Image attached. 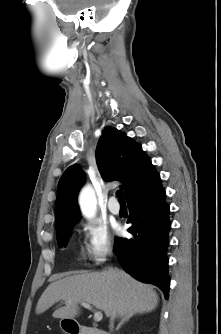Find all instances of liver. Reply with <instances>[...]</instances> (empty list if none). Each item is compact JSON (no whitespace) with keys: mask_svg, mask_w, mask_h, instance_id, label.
<instances>
[{"mask_svg":"<svg viewBox=\"0 0 221 334\" xmlns=\"http://www.w3.org/2000/svg\"><path fill=\"white\" fill-rule=\"evenodd\" d=\"M158 295L121 269L108 267L85 272L51 283L41 295L36 314H41L58 301L66 305L53 313L54 318L73 319L79 314L78 303H88L103 311L106 317H126L154 310Z\"/></svg>","mask_w":221,"mask_h":334,"instance_id":"1","label":"liver"}]
</instances>
